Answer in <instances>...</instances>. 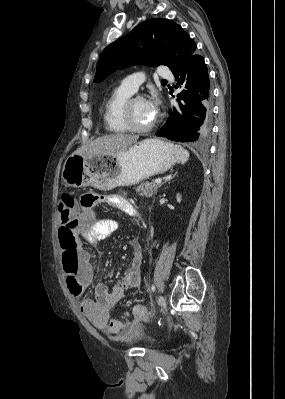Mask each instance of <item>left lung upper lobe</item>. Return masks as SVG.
Masks as SVG:
<instances>
[{
  "instance_id": "obj_1",
  "label": "left lung upper lobe",
  "mask_w": 285,
  "mask_h": 399,
  "mask_svg": "<svg viewBox=\"0 0 285 399\" xmlns=\"http://www.w3.org/2000/svg\"><path fill=\"white\" fill-rule=\"evenodd\" d=\"M195 50V42L180 25L164 18L146 20L103 50L94 82L135 64L167 65L174 72Z\"/></svg>"
}]
</instances>
